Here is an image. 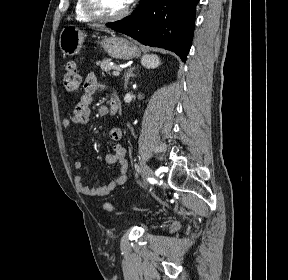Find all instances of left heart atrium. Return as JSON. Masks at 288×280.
Segmentation results:
<instances>
[{
	"instance_id": "left-heart-atrium-1",
	"label": "left heart atrium",
	"mask_w": 288,
	"mask_h": 280,
	"mask_svg": "<svg viewBox=\"0 0 288 280\" xmlns=\"http://www.w3.org/2000/svg\"><path fill=\"white\" fill-rule=\"evenodd\" d=\"M133 0H125V3L126 4H129V3H131Z\"/></svg>"
}]
</instances>
